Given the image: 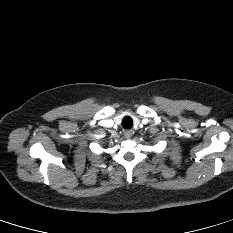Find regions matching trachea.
<instances>
[{
    "instance_id": "trachea-1",
    "label": "trachea",
    "mask_w": 233,
    "mask_h": 233,
    "mask_svg": "<svg viewBox=\"0 0 233 233\" xmlns=\"http://www.w3.org/2000/svg\"><path fill=\"white\" fill-rule=\"evenodd\" d=\"M132 125H133V121H132L131 117L126 116V117L123 118V120H122V126H123V128H125V129H131Z\"/></svg>"
}]
</instances>
